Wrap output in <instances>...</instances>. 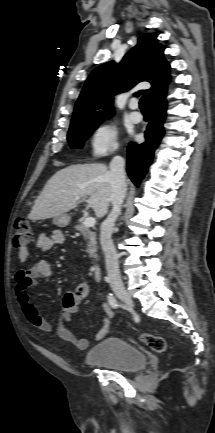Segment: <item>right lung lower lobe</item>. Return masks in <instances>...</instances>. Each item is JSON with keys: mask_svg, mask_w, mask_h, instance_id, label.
Wrapping results in <instances>:
<instances>
[{"mask_svg": "<svg viewBox=\"0 0 215 433\" xmlns=\"http://www.w3.org/2000/svg\"><path fill=\"white\" fill-rule=\"evenodd\" d=\"M165 97L166 91L149 102L152 120L145 131L146 141L141 145L130 143L127 149V173L136 186L144 178L164 134L163 123L167 109Z\"/></svg>", "mask_w": 215, "mask_h": 433, "instance_id": "right-lung-lower-lobe-1", "label": "right lung lower lobe"}]
</instances>
